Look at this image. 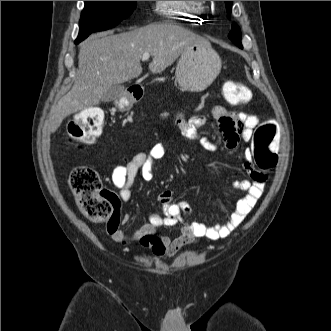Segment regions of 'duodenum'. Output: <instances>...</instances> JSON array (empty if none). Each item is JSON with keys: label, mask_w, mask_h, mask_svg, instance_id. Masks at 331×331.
Masks as SVG:
<instances>
[{"label": "duodenum", "mask_w": 331, "mask_h": 331, "mask_svg": "<svg viewBox=\"0 0 331 331\" xmlns=\"http://www.w3.org/2000/svg\"><path fill=\"white\" fill-rule=\"evenodd\" d=\"M126 95L130 96L133 100H139L143 96V88L133 86L127 90Z\"/></svg>", "instance_id": "410a0bca"}]
</instances>
